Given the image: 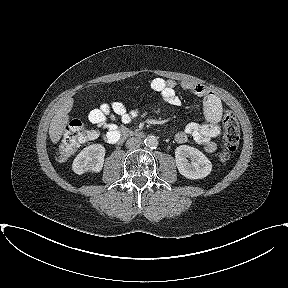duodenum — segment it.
I'll list each match as a JSON object with an SVG mask.
<instances>
[{"label": "duodenum", "mask_w": 288, "mask_h": 288, "mask_svg": "<svg viewBox=\"0 0 288 288\" xmlns=\"http://www.w3.org/2000/svg\"><path fill=\"white\" fill-rule=\"evenodd\" d=\"M130 135H132L131 132L125 131V132L123 133V135H122V138H126V137H128V136H130Z\"/></svg>", "instance_id": "duodenum-1"}]
</instances>
